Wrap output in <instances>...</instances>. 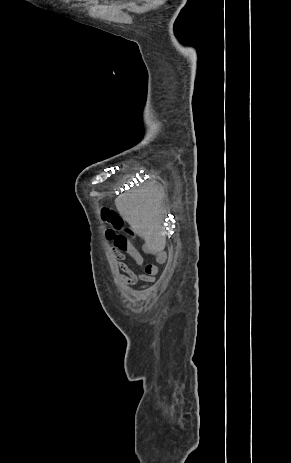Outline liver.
<instances>
[{
	"label": "liver",
	"mask_w": 291,
	"mask_h": 463,
	"mask_svg": "<svg viewBox=\"0 0 291 463\" xmlns=\"http://www.w3.org/2000/svg\"><path fill=\"white\" fill-rule=\"evenodd\" d=\"M120 215L134 232L145 240V248L161 253L166 245L165 230L160 216V193L156 187L144 186L121 194L115 199Z\"/></svg>",
	"instance_id": "1"
}]
</instances>
